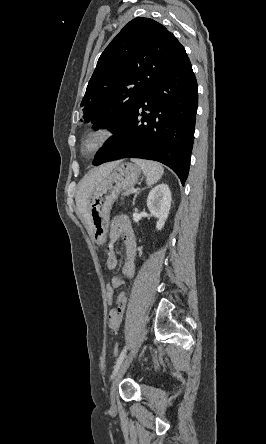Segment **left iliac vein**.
<instances>
[{
	"mask_svg": "<svg viewBox=\"0 0 266 444\" xmlns=\"http://www.w3.org/2000/svg\"><path fill=\"white\" fill-rule=\"evenodd\" d=\"M147 334V329L144 328L140 334L138 335L137 339L135 340L133 347L131 349V351L129 352V354L126 356L125 360L121 363V365L119 366V368L117 369V371L114 374L113 377V381H112V386L110 389V400H111V404L113 406H115L116 404V395H117V389H118V385L121 381V379L123 378L124 374L126 373L129 365L131 364L133 358L135 357V355L137 354L139 348L141 347L145 336Z\"/></svg>",
	"mask_w": 266,
	"mask_h": 444,
	"instance_id": "left-iliac-vein-1",
	"label": "left iliac vein"
}]
</instances>
